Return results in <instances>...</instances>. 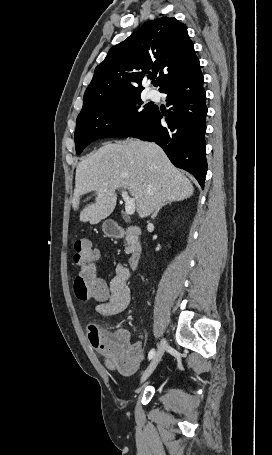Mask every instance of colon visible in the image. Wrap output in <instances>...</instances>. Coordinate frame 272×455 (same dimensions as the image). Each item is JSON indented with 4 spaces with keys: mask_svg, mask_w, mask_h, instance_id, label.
<instances>
[{
    "mask_svg": "<svg viewBox=\"0 0 272 455\" xmlns=\"http://www.w3.org/2000/svg\"><path fill=\"white\" fill-rule=\"evenodd\" d=\"M97 260L98 252L88 240L75 241L73 262L81 272L75 279L74 291L80 300L104 301L108 296L106 282L96 275ZM87 334L91 345L101 353L110 368L124 370L130 365L132 351L125 343L94 325L88 328Z\"/></svg>",
    "mask_w": 272,
    "mask_h": 455,
    "instance_id": "5ec220e1",
    "label": "colon"
}]
</instances>
